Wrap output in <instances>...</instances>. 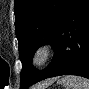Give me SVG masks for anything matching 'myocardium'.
I'll return each instance as SVG.
<instances>
[{"mask_svg": "<svg viewBox=\"0 0 89 89\" xmlns=\"http://www.w3.org/2000/svg\"><path fill=\"white\" fill-rule=\"evenodd\" d=\"M53 54V47L50 43H42L38 45L31 55V66L41 68L48 64Z\"/></svg>", "mask_w": 89, "mask_h": 89, "instance_id": "obj_1", "label": "myocardium"}]
</instances>
